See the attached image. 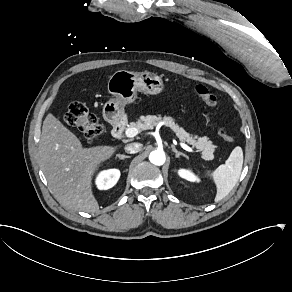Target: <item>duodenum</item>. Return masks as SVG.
<instances>
[{
    "instance_id": "obj_1",
    "label": "duodenum",
    "mask_w": 292,
    "mask_h": 292,
    "mask_svg": "<svg viewBox=\"0 0 292 292\" xmlns=\"http://www.w3.org/2000/svg\"><path fill=\"white\" fill-rule=\"evenodd\" d=\"M125 124L124 122H119L113 126L112 135L116 140H121L124 137Z\"/></svg>"
}]
</instances>
